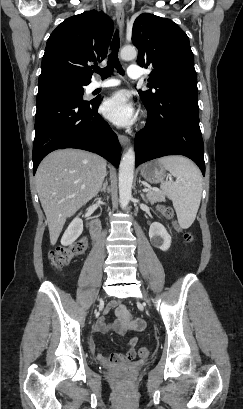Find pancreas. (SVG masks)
Instances as JSON below:
<instances>
[{"label": "pancreas", "mask_w": 243, "mask_h": 409, "mask_svg": "<svg viewBox=\"0 0 243 409\" xmlns=\"http://www.w3.org/2000/svg\"><path fill=\"white\" fill-rule=\"evenodd\" d=\"M147 201L150 203L160 202L164 200V196L156 191H149L146 194Z\"/></svg>", "instance_id": "cf45deb5"}]
</instances>
